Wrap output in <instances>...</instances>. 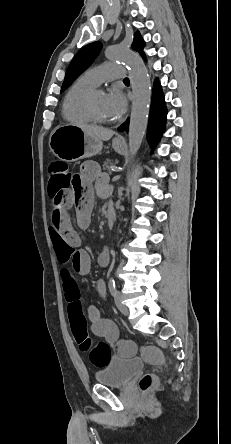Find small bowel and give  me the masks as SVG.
<instances>
[{
	"mask_svg": "<svg viewBox=\"0 0 231 444\" xmlns=\"http://www.w3.org/2000/svg\"><path fill=\"white\" fill-rule=\"evenodd\" d=\"M95 193L105 198L111 193V186L108 177L100 171L97 164L85 162L82 164L74 184L63 192L59 206H51L50 237L58 261L65 265L61 270V278L68 298L78 297V289L72 277V271L84 275L89 272L91 266L90 256L80 247V237L72 227L68 211L74 206L77 225L80 228L88 227ZM108 259V252L104 250L99 257V262L101 265H106ZM98 287L102 288V284L99 283ZM87 316L93 334L104 338L108 343L118 340L117 326L113 321L103 318L96 306L88 307Z\"/></svg>",
	"mask_w": 231,
	"mask_h": 444,
	"instance_id": "small-bowel-1",
	"label": "small bowel"
}]
</instances>
